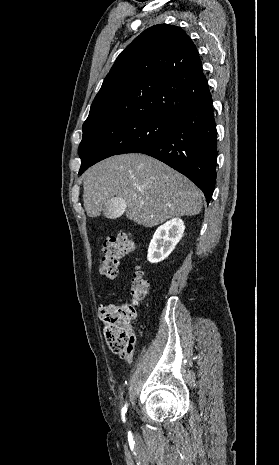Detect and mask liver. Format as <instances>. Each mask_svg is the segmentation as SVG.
<instances>
[{
    "label": "liver",
    "instance_id": "1",
    "mask_svg": "<svg viewBox=\"0 0 279 465\" xmlns=\"http://www.w3.org/2000/svg\"><path fill=\"white\" fill-rule=\"evenodd\" d=\"M83 188L84 208L92 218L115 196L125 201L126 217L145 227L194 216L202 209L203 194L187 177L144 154L117 155L97 163L86 171Z\"/></svg>",
    "mask_w": 279,
    "mask_h": 465
}]
</instances>
